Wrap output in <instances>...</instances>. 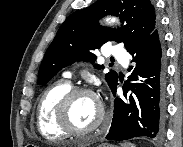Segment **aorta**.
<instances>
[{
  "instance_id": "1",
  "label": "aorta",
  "mask_w": 183,
  "mask_h": 147,
  "mask_svg": "<svg viewBox=\"0 0 183 147\" xmlns=\"http://www.w3.org/2000/svg\"><path fill=\"white\" fill-rule=\"evenodd\" d=\"M106 22L111 24L117 22V20L115 18H107Z\"/></svg>"
}]
</instances>
